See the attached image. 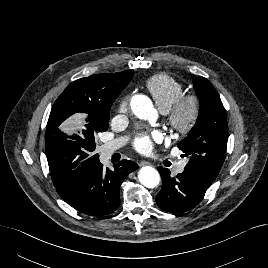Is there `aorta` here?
<instances>
[{
    "instance_id": "762f6f07",
    "label": "aorta",
    "mask_w": 268,
    "mask_h": 268,
    "mask_svg": "<svg viewBox=\"0 0 268 268\" xmlns=\"http://www.w3.org/2000/svg\"><path fill=\"white\" fill-rule=\"evenodd\" d=\"M131 109L138 118L155 122L157 111L151 100L145 95H135L131 99ZM139 182L147 188H155L160 183L158 171L151 166H144L138 172Z\"/></svg>"
}]
</instances>
